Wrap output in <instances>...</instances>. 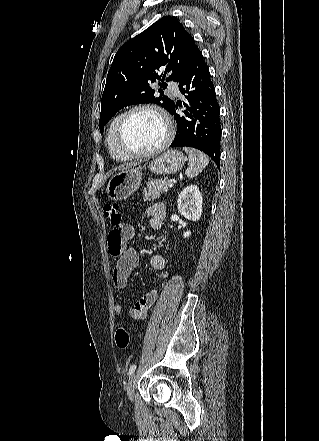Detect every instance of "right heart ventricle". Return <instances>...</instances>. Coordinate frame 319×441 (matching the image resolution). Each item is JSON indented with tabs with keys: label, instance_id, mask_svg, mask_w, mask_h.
I'll use <instances>...</instances> for the list:
<instances>
[{
	"label": "right heart ventricle",
	"instance_id": "1",
	"mask_svg": "<svg viewBox=\"0 0 319 441\" xmlns=\"http://www.w3.org/2000/svg\"><path fill=\"white\" fill-rule=\"evenodd\" d=\"M123 113H119L117 114L111 121L108 131H107V135H106V143H107V148H108V152L110 154V156L116 160V161H126L129 158L126 157L124 154H122L119 149L116 146V142H115V131H116V127L117 124L120 120V118L122 117Z\"/></svg>",
	"mask_w": 319,
	"mask_h": 441
}]
</instances>
